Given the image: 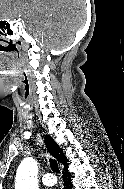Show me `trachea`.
Masks as SVG:
<instances>
[{"instance_id":"3493384b","label":"trachea","mask_w":124,"mask_h":189,"mask_svg":"<svg viewBox=\"0 0 124 189\" xmlns=\"http://www.w3.org/2000/svg\"><path fill=\"white\" fill-rule=\"evenodd\" d=\"M49 162H50V167L52 171L55 173H60V169H59L57 161L54 159H50Z\"/></svg>"}]
</instances>
